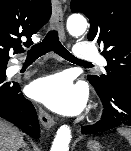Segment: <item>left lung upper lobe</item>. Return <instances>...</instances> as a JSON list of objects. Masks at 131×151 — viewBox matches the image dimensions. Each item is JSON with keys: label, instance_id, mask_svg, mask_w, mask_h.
<instances>
[{"label": "left lung upper lobe", "instance_id": "5c2ea615", "mask_svg": "<svg viewBox=\"0 0 131 151\" xmlns=\"http://www.w3.org/2000/svg\"><path fill=\"white\" fill-rule=\"evenodd\" d=\"M71 11L90 21L88 40L103 49L106 74L88 75L96 91L131 96V1L71 0Z\"/></svg>", "mask_w": 131, "mask_h": 151}]
</instances>
